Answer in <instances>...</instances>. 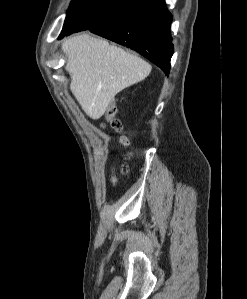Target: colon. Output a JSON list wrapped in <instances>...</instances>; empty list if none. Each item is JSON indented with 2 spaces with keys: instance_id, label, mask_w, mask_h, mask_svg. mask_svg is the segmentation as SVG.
<instances>
[{
  "instance_id": "5ec220e1",
  "label": "colon",
  "mask_w": 247,
  "mask_h": 299,
  "mask_svg": "<svg viewBox=\"0 0 247 299\" xmlns=\"http://www.w3.org/2000/svg\"><path fill=\"white\" fill-rule=\"evenodd\" d=\"M116 114V106L114 102H111L105 111L106 122L102 125L104 128H108L114 132L121 131V123L118 119L115 118ZM120 142L122 145L128 144V139L124 136L120 138ZM123 171H126V167L122 168Z\"/></svg>"
}]
</instances>
